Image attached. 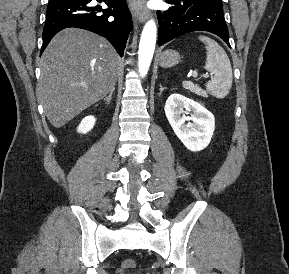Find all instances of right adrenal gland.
I'll list each match as a JSON object with an SVG mask.
<instances>
[{
  "instance_id": "obj_1",
  "label": "right adrenal gland",
  "mask_w": 289,
  "mask_h": 274,
  "mask_svg": "<svg viewBox=\"0 0 289 274\" xmlns=\"http://www.w3.org/2000/svg\"><path fill=\"white\" fill-rule=\"evenodd\" d=\"M115 91V87L111 90L110 94L105 98L106 102L109 104L111 103L112 95Z\"/></svg>"
}]
</instances>
